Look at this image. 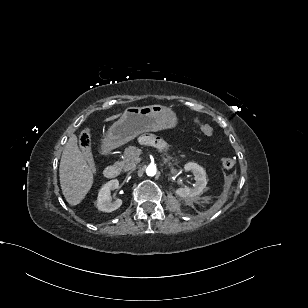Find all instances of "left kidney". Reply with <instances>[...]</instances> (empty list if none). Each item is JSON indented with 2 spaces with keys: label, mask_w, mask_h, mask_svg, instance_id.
Listing matches in <instances>:
<instances>
[{
  "label": "left kidney",
  "mask_w": 308,
  "mask_h": 308,
  "mask_svg": "<svg viewBox=\"0 0 308 308\" xmlns=\"http://www.w3.org/2000/svg\"><path fill=\"white\" fill-rule=\"evenodd\" d=\"M184 169L185 171L193 172L196 183L194 184L193 188L185 187L177 189L175 191L176 195L183 199L193 198L201 195L207 185L205 170L201 166L193 162L185 164Z\"/></svg>",
  "instance_id": "5707ae66"
}]
</instances>
